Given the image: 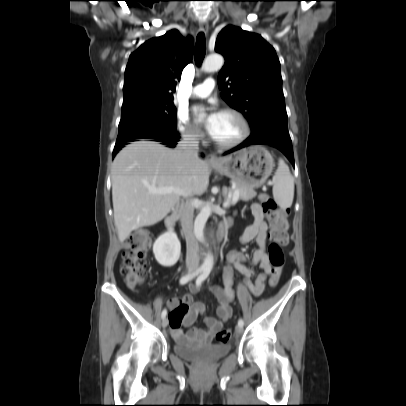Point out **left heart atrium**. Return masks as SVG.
Returning <instances> with one entry per match:
<instances>
[{
  "label": "left heart atrium",
  "mask_w": 406,
  "mask_h": 406,
  "mask_svg": "<svg viewBox=\"0 0 406 406\" xmlns=\"http://www.w3.org/2000/svg\"><path fill=\"white\" fill-rule=\"evenodd\" d=\"M193 111L195 114H199L202 111L207 112V116L204 120V126L207 129V131L212 135L217 126L220 113L212 108H205L203 106H197L193 109Z\"/></svg>",
  "instance_id": "left-heart-atrium-1"
}]
</instances>
